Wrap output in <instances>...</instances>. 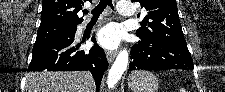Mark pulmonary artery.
<instances>
[{"mask_svg":"<svg viewBox=\"0 0 225 92\" xmlns=\"http://www.w3.org/2000/svg\"><path fill=\"white\" fill-rule=\"evenodd\" d=\"M130 5V3H127V2H124V1H120L119 2V9L121 11V14L123 16H126V17H132L134 15V12L132 10H129L128 9V6ZM88 23V21H83L81 24H80V27H83L84 25H86Z\"/></svg>","mask_w":225,"mask_h":92,"instance_id":"pulmonary-artery-1","label":"pulmonary artery"}]
</instances>
